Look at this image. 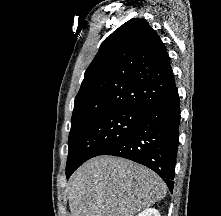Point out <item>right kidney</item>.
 Returning <instances> with one entry per match:
<instances>
[{
    "mask_svg": "<svg viewBox=\"0 0 221 216\" xmlns=\"http://www.w3.org/2000/svg\"><path fill=\"white\" fill-rule=\"evenodd\" d=\"M137 216H160V213L154 208H147L141 213H139Z\"/></svg>",
    "mask_w": 221,
    "mask_h": 216,
    "instance_id": "ca27d5eb",
    "label": "right kidney"
}]
</instances>
